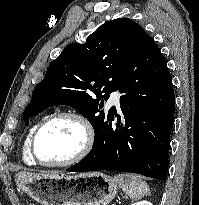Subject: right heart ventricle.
<instances>
[{
	"mask_svg": "<svg viewBox=\"0 0 199 205\" xmlns=\"http://www.w3.org/2000/svg\"><path fill=\"white\" fill-rule=\"evenodd\" d=\"M47 118V116H43L41 119H39L28 131L25 140L23 142L22 145V150H21V154H22V159L23 161L28 164V165H34L35 162L33 161V159L31 158L30 152H29V142H30V138L33 134V132L36 130V128Z\"/></svg>",
	"mask_w": 199,
	"mask_h": 205,
	"instance_id": "1",
	"label": "right heart ventricle"
}]
</instances>
